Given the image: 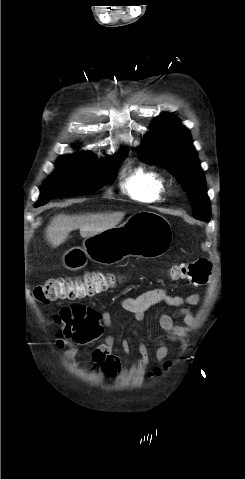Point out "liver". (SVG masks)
I'll return each instance as SVG.
<instances>
[{
	"label": "liver",
	"mask_w": 245,
	"mask_h": 479,
	"mask_svg": "<svg viewBox=\"0 0 245 479\" xmlns=\"http://www.w3.org/2000/svg\"><path fill=\"white\" fill-rule=\"evenodd\" d=\"M123 212L96 213L86 215L55 216L47 226L46 238L53 247L64 243L71 231L79 229L82 238L97 235L103 231L115 228L124 218Z\"/></svg>",
	"instance_id": "6515ba94"
}]
</instances>
